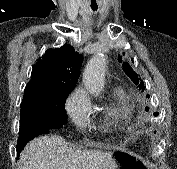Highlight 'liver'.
Masks as SVG:
<instances>
[{
    "mask_svg": "<svg viewBox=\"0 0 177 169\" xmlns=\"http://www.w3.org/2000/svg\"><path fill=\"white\" fill-rule=\"evenodd\" d=\"M20 169H119L111 152L75 150L56 135L29 142L19 157Z\"/></svg>",
    "mask_w": 177,
    "mask_h": 169,
    "instance_id": "liver-1",
    "label": "liver"
}]
</instances>
